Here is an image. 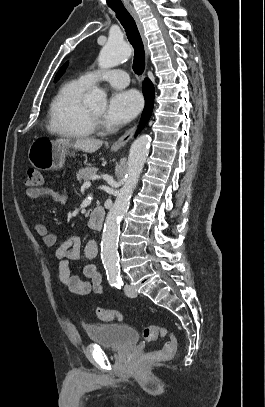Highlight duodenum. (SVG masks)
<instances>
[{"label": "duodenum", "mask_w": 265, "mask_h": 407, "mask_svg": "<svg viewBox=\"0 0 265 407\" xmlns=\"http://www.w3.org/2000/svg\"><path fill=\"white\" fill-rule=\"evenodd\" d=\"M105 220V211L102 207L93 208L88 216V225L92 229H101Z\"/></svg>", "instance_id": "obj_1"}]
</instances>
